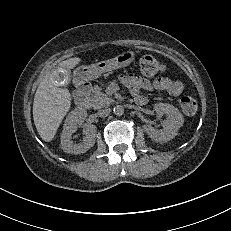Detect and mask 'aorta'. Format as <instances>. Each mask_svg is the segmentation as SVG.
Here are the masks:
<instances>
[{
  "label": "aorta",
  "instance_id": "1",
  "mask_svg": "<svg viewBox=\"0 0 231 231\" xmlns=\"http://www.w3.org/2000/svg\"><path fill=\"white\" fill-rule=\"evenodd\" d=\"M113 112L115 115L117 116H121L124 114V107L121 106V105H116L114 108H113Z\"/></svg>",
  "mask_w": 231,
  "mask_h": 231
}]
</instances>
